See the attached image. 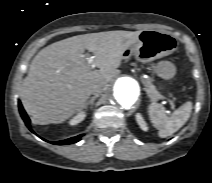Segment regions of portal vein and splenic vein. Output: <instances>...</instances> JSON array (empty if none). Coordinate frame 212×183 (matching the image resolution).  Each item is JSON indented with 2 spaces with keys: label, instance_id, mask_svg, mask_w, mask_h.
Returning a JSON list of instances; mask_svg holds the SVG:
<instances>
[{
  "label": "portal vein and splenic vein",
  "instance_id": "1",
  "mask_svg": "<svg viewBox=\"0 0 212 183\" xmlns=\"http://www.w3.org/2000/svg\"><path fill=\"white\" fill-rule=\"evenodd\" d=\"M93 59H94V56L87 57V60H88L90 66H91L92 68L94 67ZM158 99H166V97L160 95V97H159ZM169 102H170V105H171V109L173 110L174 107H175V105H174V103H172L171 101H169ZM168 113H170V111H168Z\"/></svg>",
  "mask_w": 212,
  "mask_h": 183
}]
</instances>
